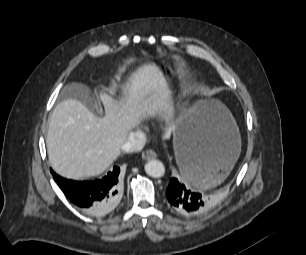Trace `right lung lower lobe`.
<instances>
[{
	"mask_svg": "<svg viewBox=\"0 0 306 255\" xmlns=\"http://www.w3.org/2000/svg\"><path fill=\"white\" fill-rule=\"evenodd\" d=\"M51 172L67 198L90 215H105L112 211L119 202L120 168L117 166L107 176L94 181L67 180Z\"/></svg>",
	"mask_w": 306,
	"mask_h": 255,
	"instance_id": "1",
	"label": "right lung lower lobe"
}]
</instances>
